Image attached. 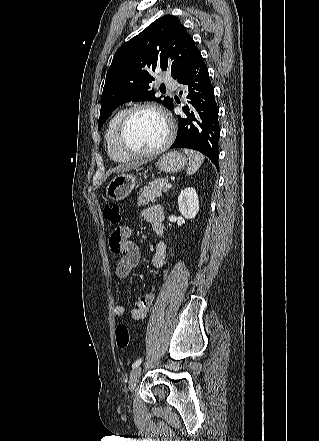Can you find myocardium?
Here are the masks:
<instances>
[{
    "label": "myocardium",
    "mask_w": 319,
    "mask_h": 441,
    "mask_svg": "<svg viewBox=\"0 0 319 441\" xmlns=\"http://www.w3.org/2000/svg\"><path fill=\"white\" fill-rule=\"evenodd\" d=\"M142 110H149L157 113L163 119L167 128V134L165 140L155 149L145 152L135 151L129 148L124 140L125 130L127 128L130 119L135 113ZM174 137H175V125L173 120L163 108L153 103H141L128 108L124 113V115L122 116L116 131V142L118 148L130 158H147V157L159 155L171 145Z\"/></svg>",
    "instance_id": "1"
}]
</instances>
